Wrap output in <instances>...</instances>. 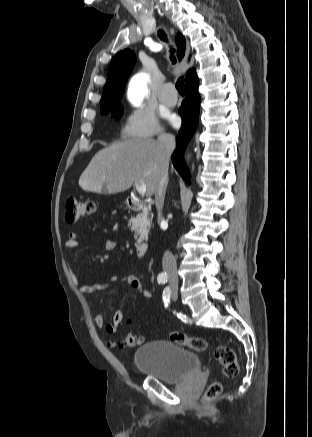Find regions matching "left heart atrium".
<instances>
[{"instance_id":"39dd6f15","label":"left heart atrium","mask_w":312,"mask_h":437,"mask_svg":"<svg viewBox=\"0 0 312 437\" xmlns=\"http://www.w3.org/2000/svg\"><path fill=\"white\" fill-rule=\"evenodd\" d=\"M171 120L174 121V120H175V117H171Z\"/></svg>"}]
</instances>
